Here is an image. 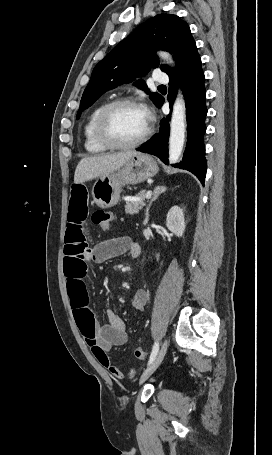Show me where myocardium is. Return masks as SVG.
Listing matches in <instances>:
<instances>
[{"instance_id": "f54148a6", "label": "myocardium", "mask_w": 272, "mask_h": 455, "mask_svg": "<svg viewBox=\"0 0 272 455\" xmlns=\"http://www.w3.org/2000/svg\"><path fill=\"white\" fill-rule=\"evenodd\" d=\"M121 106H135L143 110L145 109L139 101L131 97L118 98L103 106L94 121V136L101 145L108 149L126 150L136 148L148 139L152 131L151 120L147 113V125L145 131L138 139L129 143H120L111 138L106 129V121L110 113L114 109Z\"/></svg>"}]
</instances>
